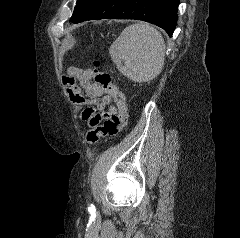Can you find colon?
Segmentation results:
<instances>
[{
  "label": "colon",
  "instance_id": "colon-1",
  "mask_svg": "<svg viewBox=\"0 0 240 238\" xmlns=\"http://www.w3.org/2000/svg\"><path fill=\"white\" fill-rule=\"evenodd\" d=\"M97 64L98 63H96V65ZM91 73L95 82L102 86L118 106V112L116 114L104 119L100 124L91 127L87 132V142L89 144H95L103 137L117 135L125 127L128 114L125 95L113 82L111 75L107 72L100 71L98 68L91 70Z\"/></svg>",
  "mask_w": 240,
  "mask_h": 238
}]
</instances>
